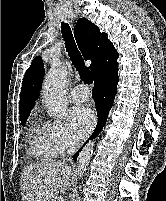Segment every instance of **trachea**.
<instances>
[{"label": "trachea", "instance_id": "1", "mask_svg": "<svg viewBox=\"0 0 166 201\" xmlns=\"http://www.w3.org/2000/svg\"><path fill=\"white\" fill-rule=\"evenodd\" d=\"M61 33L62 37L65 41V46L68 52V55L70 57V60L72 61L73 65L78 70L81 79L87 83L92 84L93 79L90 70L84 65L83 58L76 46L75 40L72 35V31L68 23H61Z\"/></svg>", "mask_w": 166, "mask_h": 201}]
</instances>
